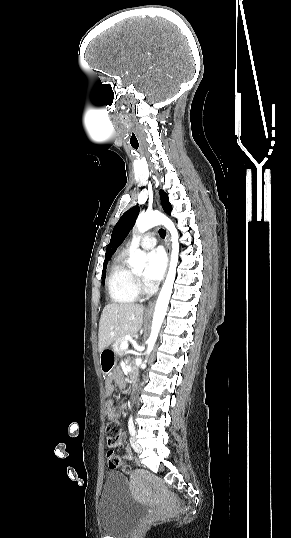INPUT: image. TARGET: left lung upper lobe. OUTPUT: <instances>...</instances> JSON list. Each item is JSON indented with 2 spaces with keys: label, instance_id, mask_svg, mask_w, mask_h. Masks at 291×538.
<instances>
[{
  "label": "left lung upper lobe",
  "instance_id": "1",
  "mask_svg": "<svg viewBox=\"0 0 291 538\" xmlns=\"http://www.w3.org/2000/svg\"><path fill=\"white\" fill-rule=\"evenodd\" d=\"M160 199L163 210L170 214L172 210V206L168 201V195L163 191L160 190ZM139 213V207L134 206L127 210L119 219L115 227L113 228V233L111 235V240L109 243L110 247V253H113L117 247L123 242V240L126 238L128 232L130 231L131 227L133 226V223Z\"/></svg>",
  "mask_w": 291,
  "mask_h": 538
}]
</instances>
